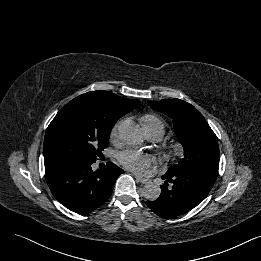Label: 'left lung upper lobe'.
<instances>
[{
	"label": "left lung upper lobe",
	"mask_w": 261,
	"mask_h": 261,
	"mask_svg": "<svg viewBox=\"0 0 261 261\" xmlns=\"http://www.w3.org/2000/svg\"><path fill=\"white\" fill-rule=\"evenodd\" d=\"M150 106L173 119L175 133L184 148V157L166 173L198 169L217 176L220 157L218 139L202 114L180 99L150 101Z\"/></svg>",
	"instance_id": "5c2ea615"
}]
</instances>
